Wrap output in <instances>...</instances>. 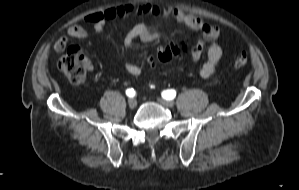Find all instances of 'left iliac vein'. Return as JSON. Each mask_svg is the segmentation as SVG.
<instances>
[{
	"instance_id": "1",
	"label": "left iliac vein",
	"mask_w": 299,
	"mask_h": 190,
	"mask_svg": "<svg viewBox=\"0 0 299 190\" xmlns=\"http://www.w3.org/2000/svg\"><path fill=\"white\" fill-rule=\"evenodd\" d=\"M159 103L165 107L172 108L174 107L175 103L170 100L158 99Z\"/></svg>"
}]
</instances>
